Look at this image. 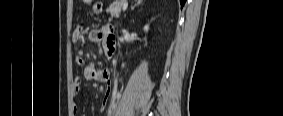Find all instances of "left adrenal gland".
Masks as SVG:
<instances>
[{"label":"left adrenal gland","mask_w":283,"mask_h":116,"mask_svg":"<svg viewBox=\"0 0 283 116\" xmlns=\"http://www.w3.org/2000/svg\"><path fill=\"white\" fill-rule=\"evenodd\" d=\"M141 2H142V1H140V0H139V1L137 2V4H136L134 7H136V6L140 5V4H141ZM134 7H133L132 9H134Z\"/></svg>","instance_id":"left-adrenal-gland-1"}]
</instances>
